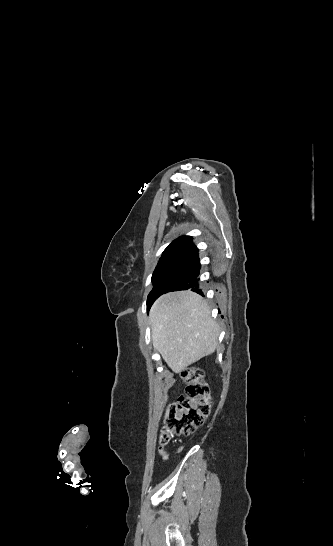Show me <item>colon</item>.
Segmentation results:
<instances>
[{
	"instance_id": "colon-1",
	"label": "colon",
	"mask_w": 333,
	"mask_h": 546,
	"mask_svg": "<svg viewBox=\"0 0 333 546\" xmlns=\"http://www.w3.org/2000/svg\"><path fill=\"white\" fill-rule=\"evenodd\" d=\"M186 394L173 402L166 414V426L160 442L166 444L172 434L188 435L196 431L210 413V390L200 368L188 367L181 372Z\"/></svg>"
}]
</instances>
